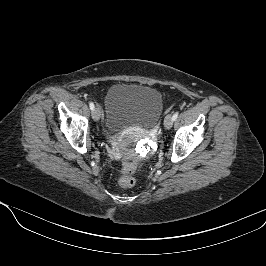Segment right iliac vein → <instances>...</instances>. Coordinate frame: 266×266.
<instances>
[{"label":"right iliac vein","mask_w":266,"mask_h":266,"mask_svg":"<svg viewBox=\"0 0 266 266\" xmlns=\"http://www.w3.org/2000/svg\"><path fill=\"white\" fill-rule=\"evenodd\" d=\"M92 118L94 121H98L101 118V110L99 107H95L92 110Z\"/></svg>","instance_id":"obj_1"}]
</instances>
